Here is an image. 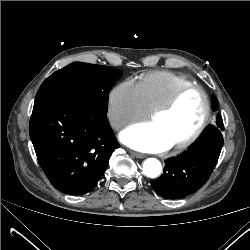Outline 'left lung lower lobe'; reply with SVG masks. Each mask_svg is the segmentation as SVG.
Listing matches in <instances>:
<instances>
[{"mask_svg":"<svg viewBox=\"0 0 250 250\" xmlns=\"http://www.w3.org/2000/svg\"><path fill=\"white\" fill-rule=\"evenodd\" d=\"M218 127H208L182 155L166 160L163 174L151 182L154 191L168 199L185 197L200 188L218 161L223 136Z\"/></svg>","mask_w":250,"mask_h":250,"instance_id":"0a47b994","label":"left lung lower lobe"}]
</instances>
